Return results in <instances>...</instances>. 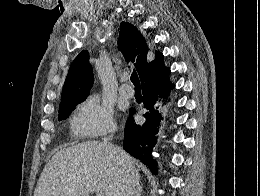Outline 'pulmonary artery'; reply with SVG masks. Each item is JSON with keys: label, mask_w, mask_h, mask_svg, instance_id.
Returning <instances> with one entry per match:
<instances>
[{"label": "pulmonary artery", "mask_w": 260, "mask_h": 196, "mask_svg": "<svg viewBox=\"0 0 260 196\" xmlns=\"http://www.w3.org/2000/svg\"><path fill=\"white\" fill-rule=\"evenodd\" d=\"M120 94L125 98H131L134 95V89L129 85H123L120 88Z\"/></svg>", "instance_id": "1"}]
</instances>
